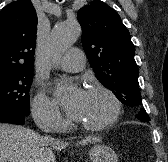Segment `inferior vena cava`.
<instances>
[{"mask_svg":"<svg viewBox=\"0 0 168 162\" xmlns=\"http://www.w3.org/2000/svg\"><path fill=\"white\" fill-rule=\"evenodd\" d=\"M41 128H46L45 126L41 125ZM46 139H51V137L46 136Z\"/></svg>","mask_w":168,"mask_h":162,"instance_id":"602c4592","label":"inferior vena cava"}]
</instances>
